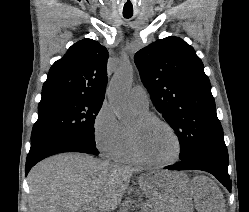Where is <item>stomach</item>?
I'll return each mask as SVG.
<instances>
[{
  "label": "stomach",
  "mask_w": 249,
  "mask_h": 212,
  "mask_svg": "<svg viewBox=\"0 0 249 212\" xmlns=\"http://www.w3.org/2000/svg\"><path fill=\"white\" fill-rule=\"evenodd\" d=\"M147 204H157L158 212H193L191 179H186L183 170H148L140 175Z\"/></svg>",
  "instance_id": "stomach-1"
}]
</instances>
